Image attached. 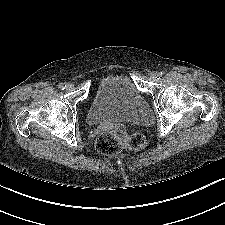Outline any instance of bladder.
<instances>
[{"label":"bladder","instance_id":"bladder-1","mask_svg":"<svg viewBox=\"0 0 225 225\" xmlns=\"http://www.w3.org/2000/svg\"><path fill=\"white\" fill-rule=\"evenodd\" d=\"M90 125L120 121L137 125L153 122L150 105L126 75H111L99 81L89 102Z\"/></svg>","mask_w":225,"mask_h":225}]
</instances>
